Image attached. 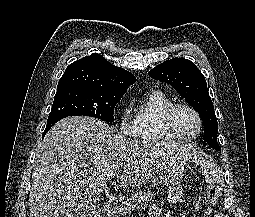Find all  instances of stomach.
<instances>
[{
	"label": "stomach",
	"instance_id": "obj_1",
	"mask_svg": "<svg viewBox=\"0 0 255 217\" xmlns=\"http://www.w3.org/2000/svg\"><path fill=\"white\" fill-rule=\"evenodd\" d=\"M183 161L179 156H172L164 162L158 171L161 182L166 185L177 182L183 175Z\"/></svg>",
	"mask_w": 255,
	"mask_h": 217
}]
</instances>
